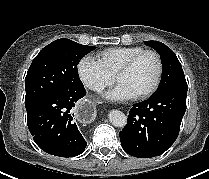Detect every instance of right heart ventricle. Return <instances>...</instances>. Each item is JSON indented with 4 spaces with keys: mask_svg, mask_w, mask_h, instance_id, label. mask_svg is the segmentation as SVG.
Segmentation results:
<instances>
[{
    "mask_svg": "<svg viewBox=\"0 0 209 179\" xmlns=\"http://www.w3.org/2000/svg\"><path fill=\"white\" fill-rule=\"evenodd\" d=\"M142 50L144 48L140 46L111 47L97 53L96 61L107 74L114 77L124 62Z\"/></svg>",
    "mask_w": 209,
    "mask_h": 179,
    "instance_id": "1",
    "label": "right heart ventricle"
}]
</instances>
